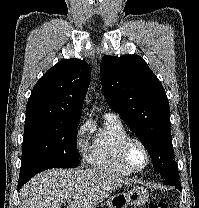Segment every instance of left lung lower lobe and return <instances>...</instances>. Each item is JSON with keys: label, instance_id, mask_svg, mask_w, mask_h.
Instances as JSON below:
<instances>
[{"label": "left lung lower lobe", "instance_id": "1", "mask_svg": "<svg viewBox=\"0 0 199 208\" xmlns=\"http://www.w3.org/2000/svg\"><path fill=\"white\" fill-rule=\"evenodd\" d=\"M164 182L166 184L175 186L176 188H178L181 191V184L179 181V176L166 177V178H164Z\"/></svg>", "mask_w": 199, "mask_h": 208}]
</instances>
